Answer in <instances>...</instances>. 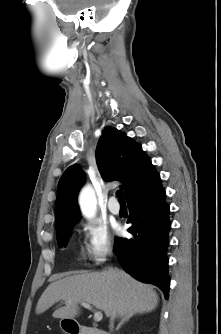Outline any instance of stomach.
Segmentation results:
<instances>
[{
    "mask_svg": "<svg viewBox=\"0 0 221 334\" xmlns=\"http://www.w3.org/2000/svg\"><path fill=\"white\" fill-rule=\"evenodd\" d=\"M69 324H73V322H71V320L69 321V319H62V320L60 321V327H61L62 330L65 331L67 334H69V333L67 332V326H68ZM75 324H76V323H75ZM76 325H77V324H76Z\"/></svg>",
    "mask_w": 221,
    "mask_h": 334,
    "instance_id": "1",
    "label": "stomach"
}]
</instances>
